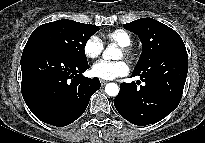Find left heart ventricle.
<instances>
[{
    "label": "left heart ventricle",
    "instance_id": "obj_1",
    "mask_svg": "<svg viewBox=\"0 0 205 143\" xmlns=\"http://www.w3.org/2000/svg\"><path fill=\"white\" fill-rule=\"evenodd\" d=\"M123 57V53L121 52V50L118 51L116 58L120 59Z\"/></svg>",
    "mask_w": 205,
    "mask_h": 143
}]
</instances>
